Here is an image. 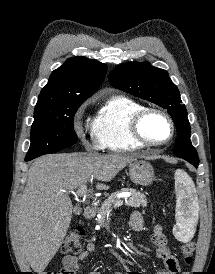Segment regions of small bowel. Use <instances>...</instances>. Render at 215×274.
Masks as SVG:
<instances>
[{"label": "small bowel", "mask_w": 215, "mask_h": 274, "mask_svg": "<svg viewBox=\"0 0 215 274\" xmlns=\"http://www.w3.org/2000/svg\"><path fill=\"white\" fill-rule=\"evenodd\" d=\"M130 225L133 230L140 231L144 227V219L139 212H134L130 218ZM151 242L155 249L156 256L164 263L165 269L156 272L155 274H177L180 272L177 258L171 253L168 241L160 225L156 224L153 227ZM96 250V244L92 241L88 242L86 248L78 255H66L63 258V270L67 274H76L80 264L86 260ZM89 274H101L93 271ZM115 274H123L122 272H115ZM137 274V273H130ZM182 274H189L183 272Z\"/></svg>", "instance_id": "c3829d8e"}]
</instances>
